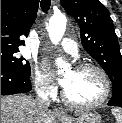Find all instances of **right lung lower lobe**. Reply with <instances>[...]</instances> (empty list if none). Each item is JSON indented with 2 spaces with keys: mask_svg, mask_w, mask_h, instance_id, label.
<instances>
[{
  "mask_svg": "<svg viewBox=\"0 0 122 123\" xmlns=\"http://www.w3.org/2000/svg\"><path fill=\"white\" fill-rule=\"evenodd\" d=\"M31 90L30 75L1 65V95L27 93Z\"/></svg>",
  "mask_w": 122,
  "mask_h": 123,
  "instance_id": "1",
  "label": "right lung lower lobe"
}]
</instances>
